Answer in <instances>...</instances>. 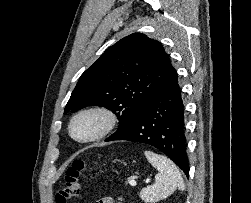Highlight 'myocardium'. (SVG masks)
Returning <instances> with one entry per match:
<instances>
[{"instance_id": "1", "label": "myocardium", "mask_w": 251, "mask_h": 203, "mask_svg": "<svg viewBox=\"0 0 251 203\" xmlns=\"http://www.w3.org/2000/svg\"><path fill=\"white\" fill-rule=\"evenodd\" d=\"M83 116H94L99 120L98 129L85 138H79L74 133L75 122ZM117 116L109 108L100 105L89 106L77 111L71 118L69 122V134L70 136L79 143H90L100 140L107 136L117 125Z\"/></svg>"}]
</instances>
